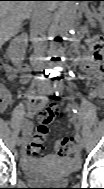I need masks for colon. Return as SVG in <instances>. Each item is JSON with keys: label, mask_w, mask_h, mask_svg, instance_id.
Masks as SVG:
<instances>
[{"label": "colon", "mask_w": 104, "mask_h": 189, "mask_svg": "<svg viewBox=\"0 0 104 189\" xmlns=\"http://www.w3.org/2000/svg\"><path fill=\"white\" fill-rule=\"evenodd\" d=\"M91 48H92L93 60L98 66L95 73L100 77L101 75L100 61L104 49L102 37L100 36L94 37L92 40ZM59 113H60V107L58 106V104L51 103L46 108V110L40 114L38 131L31 143L30 152H32L33 154H37L41 150L49 133L48 125L56 116L59 115ZM56 150L60 156L76 157L75 143L69 138H61L56 143Z\"/></svg>", "instance_id": "obj_1"}]
</instances>
